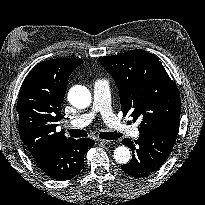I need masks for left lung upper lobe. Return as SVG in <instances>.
Masks as SVG:
<instances>
[{
    "label": "left lung upper lobe",
    "instance_id": "5c2ea615",
    "mask_svg": "<svg viewBox=\"0 0 205 205\" xmlns=\"http://www.w3.org/2000/svg\"><path fill=\"white\" fill-rule=\"evenodd\" d=\"M99 61L118 86L123 115L141 121L139 132L179 125L178 89L156 56L137 49Z\"/></svg>",
    "mask_w": 205,
    "mask_h": 205
}]
</instances>
